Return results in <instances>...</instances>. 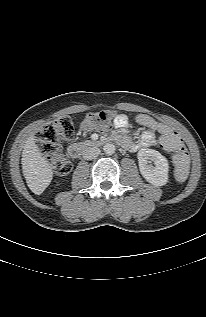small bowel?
Returning a JSON list of instances; mask_svg holds the SVG:
<instances>
[{
  "mask_svg": "<svg viewBox=\"0 0 206 317\" xmlns=\"http://www.w3.org/2000/svg\"><path fill=\"white\" fill-rule=\"evenodd\" d=\"M136 122L147 128L138 141H133L129 137H122V144L129 150L136 151L144 147H152L156 145V134H159L160 141L163 137L174 133L167 125L157 121L147 114H138L135 118ZM114 126L118 129H123L128 126V117L124 114L118 115L114 121Z\"/></svg>",
  "mask_w": 206,
  "mask_h": 317,
  "instance_id": "1",
  "label": "small bowel"
}]
</instances>
